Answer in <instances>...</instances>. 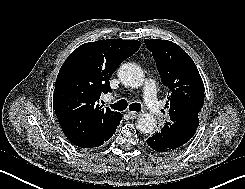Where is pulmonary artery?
<instances>
[{"mask_svg":"<svg viewBox=\"0 0 245 189\" xmlns=\"http://www.w3.org/2000/svg\"><path fill=\"white\" fill-rule=\"evenodd\" d=\"M145 101L152 111L157 110V101L155 98L156 87L155 82L151 79H147L145 82Z\"/></svg>","mask_w":245,"mask_h":189,"instance_id":"pulmonary-artery-1","label":"pulmonary artery"}]
</instances>
